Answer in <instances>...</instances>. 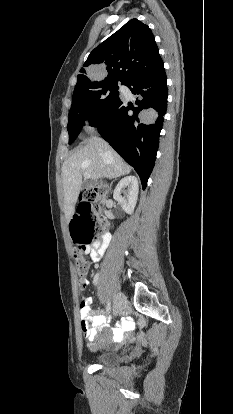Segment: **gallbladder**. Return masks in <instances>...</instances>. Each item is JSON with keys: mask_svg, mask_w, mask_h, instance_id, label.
Segmentation results:
<instances>
[{"mask_svg": "<svg viewBox=\"0 0 233 414\" xmlns=\"http://www.w3.org/2000/svg\"><path fill=\"white\" fill-rule=\"evenodd\" d=\"M92 184H93V183H90V182H85V183L83 184V186H84V188H89Z\"/></svg>", "mask_w": 233, "mask_h": 414, "instance_id": "gallbladder-1", "label": "gallbladder"}]
</instances>
